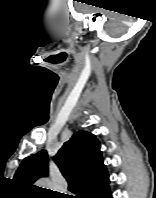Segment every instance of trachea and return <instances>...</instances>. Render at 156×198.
<instances>
[{"label":"trachea","mask_w":156,"mask_h":198,"mask_svg":"<svg viewBox=\"0 0 156 198\" xmlns=\"http://www.w3.org/2000/svg\"><path fill=\"white\" fill-rule=\"evenodd\" d=\"M77 198H82V196H78Z\"/></svg>","instance_id":"3493384b"}]
</instances>
